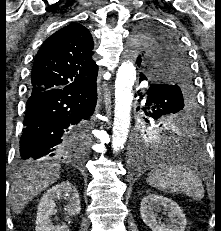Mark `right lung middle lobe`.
Instances as JSON below:
<instances>
[{"label":"right lung middle lobe","instance_id":"right-lung-middle-lobe-1","mask_svg":"<svg viewBox=\"0 0 221 231\" xmlns=\"http://www.w3.org/2000/svg\"><path fill=\"white\" fill-rule=\"evenodd\" d=\"M90 125H91V122L89 121V122L83 123V124H81L75 128V130L79 134L85 135L87 143L89 142V138H90Z\"/></svg>","mask_w":221,"mask_h":231}]
</instances>
